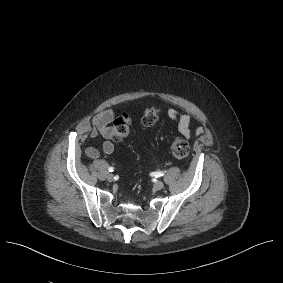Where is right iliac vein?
Masks as SVG:
<instances>
[{
  "label": "right iliac vein",
  "instance_id": "63e3f726",
  "mask_svg": "<svg viewBox=\"0 0 283 283\" xmlns=\"http://www.w3.org/2000/svg\"><path fill=\"white\" fill-rule=\"evenodd\" d=\"M107 180L112 182L114 180V175L113 174H108L107 175Z\"/></svg>",
  "mask_w": 283,
  "mask_h": 283
}]
</instances>
